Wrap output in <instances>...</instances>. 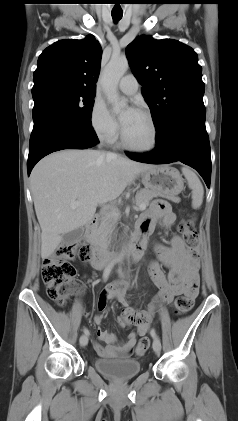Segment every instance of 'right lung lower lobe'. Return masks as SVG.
Instances as JSON below:
<instances>
[{
    "mask_svg": "<svg viewBox=\"0 0 238 421\" xmlns=\"http://www.w3.org/2000/svg\"><path fill=\"white\" fill-rule=\"evenodd\" d=\"M34 127L30 137L27 171L44 156L63 149H86L98 143L92 126L74 121L54 108L45 107L33 113Z\"/></svg>",
    "mask_w": 238,
    "mask_h": 421,
    "instance_id": "1",
    "label": "right lung lower lobe"
}]
</instances>
